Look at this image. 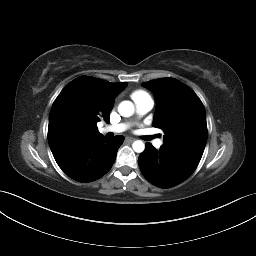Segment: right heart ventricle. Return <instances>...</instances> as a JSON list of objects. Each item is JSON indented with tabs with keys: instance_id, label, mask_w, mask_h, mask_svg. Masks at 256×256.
I'll use <instances>...</instances> for the list:
<instances>
[{
	"instance_id": "obj_1",
	"label": "right heart ventricle",
	"mask_w": 256,
	"mask_h": 256,
	"mask_svg": "<svg viewBox=\"0 0 256 256\" xmlns=\"http://www.w3.org/2000/svg\"><path fill=\"white\" fill-rule=\"evenodd\" d=\"M131 97L135 103L138 101L151 99L150 95L144 90H136V91L132 92Z\"/></svg>"
}]
</instances>
